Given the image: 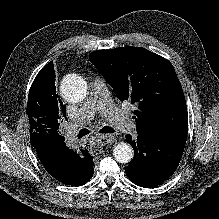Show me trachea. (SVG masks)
<instances>
[{"mask_svg":"<svg viewBox=\"0 0 219 219\" xmlns=\"http://www.w3.org/2000/svg\"><path fill=\"white\" fill-rule=\"evenodd\" d=\"M114 132V129L109 127V126H104L102 129H100L99 133H102V134H110V133H113ZM90 131L87 130V129H81L79 131V134H78V137H83L87 134H89Z\"/></svg>","mask_w":219,"mask_h":219,"instance_id":"1","label":"trachea"}]
</instances>
